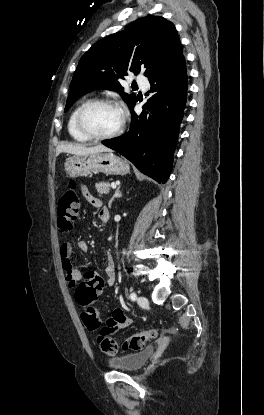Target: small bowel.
Here are the masks:
<instances>
[{
    "instance_id": "1",
    "label": "small bowel",
    "mask_w": 264,
    "mask_h": 415,
    "mask_svg": "<svg viewBox=\"0 0 264 415\" xmlns=\"http://www.w3.org/2000/svg\"><path fill=\"white\" fill-rule=\"evenodd\" d=\"M86 199L96 208L99 209L98 211V219L101 224H106L110 218L109 210L102 206L100 200L93 197L91 194L86 193ZM78 249L83 252L87 253L89 250V246L86 242L81 241L78 243ZM72 252L73 248L70 243H62L59 247V254H60V262L63 270L66 273V277L68 280L69 285L76 289L77 286L83 281L84 276L80 269L74 267L72 264ZM105 282L104 284L107 286H113L116 283V272H115V265L113 261V257L110 253H105ZM101 289V288H100ZM132 321L126 317L124 312L121 309H115L112 313V316L108 319L106 326L104 329L109 333L112 334L120 329L130 326Z\"/></svg>"
}]
</instances>
